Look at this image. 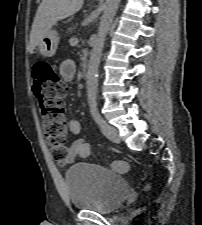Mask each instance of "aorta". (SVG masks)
Instances as JSON below:
<instances>
[{"mask_svg": "<svg viewBox=\"0 0 202 225\" xmlns=\"http://www.w3.org/2000/svg\"><path fill=\"white\" fill-rule=\"evenodd\" d=\"M120 1L121 0H106V6L103 15L100 19V25L98 28V33L95 42L93 44V49L89 59L88 70L86 75L87 99L89 102L96 101L98 87L97 77L102 51L104 48L107 33L110 28V24L119 7Z\"/></svg>", "mask_w": 202, "mask_h": 225, "instance_id": "obj_1", "label": "aorta"}]
</instances>
